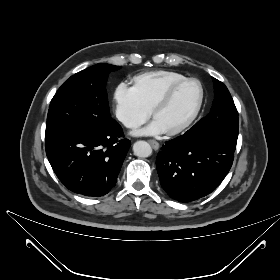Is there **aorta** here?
<instances>
[{"label": "aorta", "instance_id": "obj_1", "mask_svg": "<svg viewBox=\"0 0 280 280\" xmlns=\"http://www.w3.org/2000/svg\"><path fill=\"white\" fill-rule=\"evenodd\" d=\"M133 152L137 157L146 158L151 156L152 148L146 141H137L133 145Z\"/></svg>", "mask_w": 280, "mask_h": 280}]
</instances>
